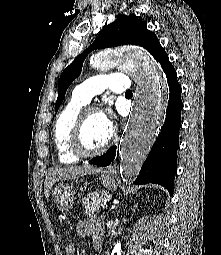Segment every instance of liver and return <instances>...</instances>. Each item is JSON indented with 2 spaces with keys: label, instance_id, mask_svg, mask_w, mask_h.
<instances>
[{
  "label": "liver",
  "instance_id": "liver-1",
  "mask_svg": "<svg viewBox=\"0 0 221 255\" xmlns=\"http://www.w3.org/2000/svg\"><path fill=\"white\" fill-rule=\"evenodd\" d=\"M101 168H97L88 164L82 167L69 166L64 168H54L48 172L45 182H44V194L48 198L49 191L53 185L58 181H68L78 177L85 176L87 174L100 172Z\"/></svg>",
  "mask_w": 221,
  "mask_h": 255
}]
</instances>
